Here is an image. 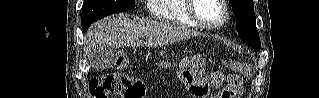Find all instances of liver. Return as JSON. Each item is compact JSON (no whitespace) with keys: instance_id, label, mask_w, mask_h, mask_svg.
Listing matches in <instances>:
<instances>
[{"instance_id":"obj_1","label":"liver","mask_w":319,"mask_h":98,"mask_svg":"<svg viewBox=\"0 0 319 98\" xmlns=\"http://www.w3.org/2000/svg\"><path fill=\"white\" fill-rule=\"evenodd\" d=\"M197 36H200L198 32L184 26L131 19L121 14L94 23L85 35V48L90 60L92 51L104 45L112 48L158 47ZM141 37L148 40L143 42Z\"/></svg>"}]
</instances>
